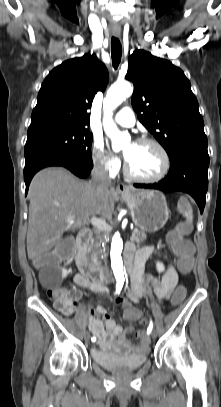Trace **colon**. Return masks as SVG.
Masks as SVG:
<instances>
[{
    "mask_svg": "<svg viewBox=\"0 0 221 407\" xmlns=\"http://www.w3.org/2000/svg\"><path fill=\"white\" fill-rule=\"evenodd\" d=\"M179 212L183 215L184 221L168 235V243L174 253L178 256V269L181 273L187 274L190 272L193 264L192 255L195 254V247L192 239H184L193 229V215L190 204L183 200L178 206ZM68 240H59L58 246H52L51 252H42L35 259V268L46 266L47 261H70V249L73 247V236H68ZM69 290L63 291H48L49 296L54 300L56 309L66 314L75 305V298ZM189 292L187 286H176L173 292H170L169 301L172 308H179L181 304H185ZM142 307L139 305H128L122 311V316L129 322H137L143 319ZM146 323L145 320L142 321Z\"/></svg>",
    "mask_w": 221,
    "mask_h": 407,
    "instance_id": "colon-1",
    "label": "colon"
}]
</instances>
